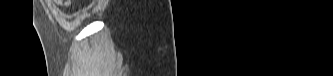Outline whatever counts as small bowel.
I'll list each match as a JSON object with an SVG mask.
<instances>
[{
  "mask_svg": "<svg viewBox=\"0 0 333 76\" xmlns=\"http://www.w3.org/2000/svg\"><path fill=\"white\" fill-rule=\"evenodd\" d=\"M50 3L53 5V7L55 9H59V8H65V7H69L72 5V1L70 0H52L50 1Z\"/></svg>",
  "mask_w": 333,
  "mask_h": 76,
  "instance_id": "small-bowel-1",
  "label": "small bowel"
}]
</instances>
